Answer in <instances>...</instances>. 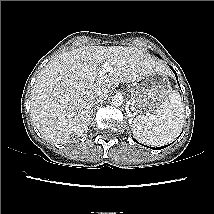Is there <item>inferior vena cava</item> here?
Returning a JSON list of instances; mask_svg holds the SVG:
<instances>
[{
	"instance_id": "inferior-vena-cava-1",
	"label": "inferior vena cava",
	"mask_w": 214,
	"mask_h": 214,
	"mask_svg": "<svg viewBox=\"0 0 214 214\" xmlns=\"http://www.w3.org/2000/svg\"><path fill=\"white\" fill-rule=\"evenodd\" d=\"M108 97L107 92L104 90H98L90 94V102L92 104H98L103 102Z\"/></svg>"
}]
</instances>
